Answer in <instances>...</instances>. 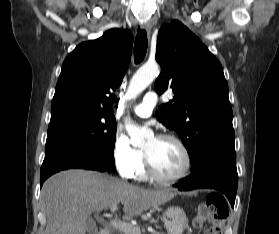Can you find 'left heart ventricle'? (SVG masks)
Instances as JSON below:
<instances>
[{
  "mask_svg": "<svg viewBox=\"0 0 279 234\" xmlns=\"http://www.w3.org/2000/svg\"><path fill=\"white\" fill-rule=\"evenodd\" d=\"M144 150L149 154L156 171L164 177L178 175L184 167V156L172 141L151 138Z\"/></svg>",
  "mask_w": 279,
  "mask_h": 234,
  "instance_id": "1",
  "label": "left heart ventricle"
}]
</instances>
